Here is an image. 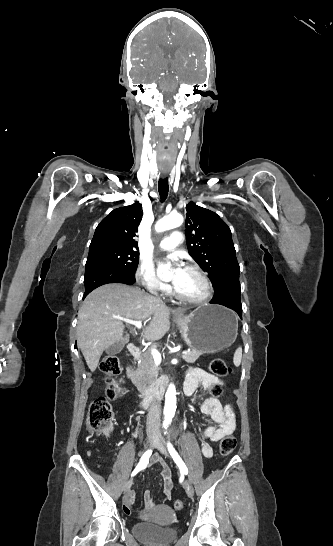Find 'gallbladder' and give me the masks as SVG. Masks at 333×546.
Masks as SVG:
<instances>
[{
	"mask_svg": "<svg viewBox=\"0 0 333 546\" xmlns=\"http://www.w3.org/2000/svg\"><path fill=\"white\" fill-rule=\"evenodd\" d=\"M127 342H128V337H125L122 341L115 343L112 346H110L108 349H106V354L113 356L120 353Z\"/></svg>",
	"mask_w": 333,
	"mask_h": 546,
	"instance_id": "obj_1",
	"label": "gallbladder"
}]
</instances>
